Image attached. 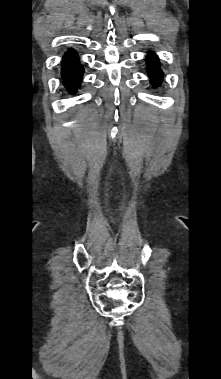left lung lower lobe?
Segmentation results:
<instances>
[{
    "label": "left lung lower lobe",
    "mask_w": 221,
    "mask_h": 379,
    "mask_svg": "<svg viewBox=\"0 0 221 379\" xmlns=\"http://www.w3.org/2000/svg\"><path fill=\"white\" fill-rule=\"evenodd\" d=\"M147 64H148L149 75H150L152 82L155 85H158L160 83V79H161V77H160L161 70L159 67V62H158L157 56H155L154 54H150L148 56Z\"/></svg>",
    "instance_id": "1"
}]
</instances>
